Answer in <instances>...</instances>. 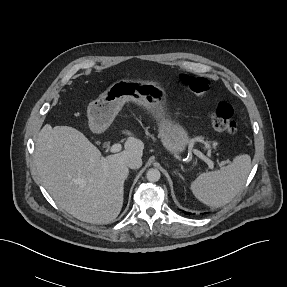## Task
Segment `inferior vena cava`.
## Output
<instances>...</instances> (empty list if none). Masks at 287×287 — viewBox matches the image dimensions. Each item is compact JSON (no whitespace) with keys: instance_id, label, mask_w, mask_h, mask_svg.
Instances as JSON below:
<instances>
[{"instance_id":"inferior-vena-cava-1","label":"inferior vena cava","mask_w":287,"mask_h":287,"mask_svg":"<svg viewBox=\"0 0 287 287\" xmlns=\"http://www.w3.org/2000/svg\"><path fill=\"white\" fill-rule=\"evenodd\" d=\"M127 166L131 169H139L142 166V159L137 156L130 157L127 160Z\"/></svg>"}]
</instances>
